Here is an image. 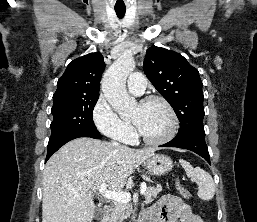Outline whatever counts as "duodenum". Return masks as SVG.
<instances>
[{"label":"duodenum","mask_w":257,"mask_h":222,"mask_svg":"<svg viewBox=\"0 0 257 222\" xmlns=\"http://www.w3.org/2000/svg\"><path fill=\"white\" fill-rule=\"evenodd\" d=\"M110 212H111V207L109 205H105L103 207V215L99 222H106V219L109 217Z\"/></svg>","instance_id":"obj_1"}]
</instances>
